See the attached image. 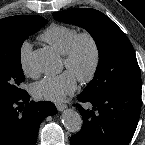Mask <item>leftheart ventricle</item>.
<instances>
[{
  "label": "left heart ventricle",
  "instance_id": "obj_1",
  "mask_svg": "<svg viewBox=\"0 0 145 145\" xmlns=\"http://www.w3.org/2000/svg\"><path fill=\"white\" fill-rule=\"evenodd\" d=\"M91 60L92 54L90 47L87 43H83L75 63L70 68H68V70L71 71L76 76V78H78L80 75H83L88 71Z\"/></svg>",
  "mask_w": 145,
  "mask_h": 145
}]
</instances>
